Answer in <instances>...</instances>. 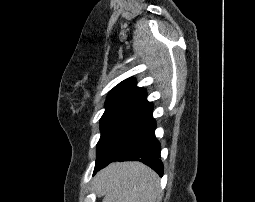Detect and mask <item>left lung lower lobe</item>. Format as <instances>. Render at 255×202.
<instances>
[{
  "instance_id": "0a47b994",
  "label": "left lung lower lobe",
  "mask_w": 255,
  "mask_h": 202,
  "mask_svg": "<svg viewBox=\"0 0 255 202\" xmlns=\"http://www.w3.org/2000/svg\"><path fill=\"white\" fill-rule=\"evenodd\" d=\"M155 120L150 117L126 141L121 151L111 159L96 162L94 174L114 161H140L163 175V164L160 160V143L154 131Z\"/></svg>"
}]
</instances>
